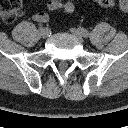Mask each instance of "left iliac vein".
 <instances>
[{"label":"left iliac vein","instance_id":"obj_1","mask_svg":"<svg viewBox=\"0 0 128 128\" xmlns=\"http://www.w3.org/2000/svg\"><path fill=\"white\" fill-rule=\"evenodd\" d=\"M70 31L79 41H81V42L83 41V35L81 34V32L78 29L71 28Z\"/></svg>","mask_w":128,"mask_h":128}]
</instances>
